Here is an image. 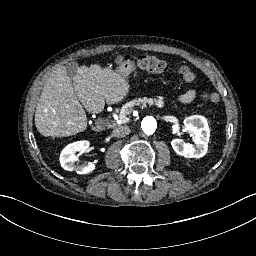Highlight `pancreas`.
<instances>
[{"mask_svg":"<svg viewBox=\"0 0 256 256\" xmlns=\"http://www.w3.org/2000/svg\"><path fill=\"white\" fill-rule=\"evenodd\" d=\"M146 105L148 104H153L155 103L158 107H163V100L162 99H155V100H150V99H138V100H133L132 102H130L128 105L124 106V114L125 115H129L131 114V112L133 111V107L135 105H140V104ZM122 123L127 122L126 118H122L121 119Z\"/></svg>","mask_w":256,"mask_h":256,"instance_id":"cf45deb5","label":"pancreas"}]
</instances>
